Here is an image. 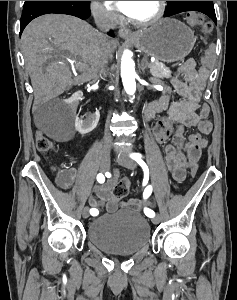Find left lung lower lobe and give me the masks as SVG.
Returning a JSON list of instances; mask_svg holds the SVG:
<instances>
[{
	"instance_id": "1",
	"label": "left lung lower lobe",
	"mask_w": 237,
	"mask_h": 300,
	"mask_svg": "<svg viewBox=\"0 0 237 300\" xmlns=\"http://www.w3.org/2000/svg\"><path fill=\"white\" fill-rule=\"evenodd\" d=\"M186 11L202 12V13L206 14L207 16H209L215 22V24H217L215 10H214L213 5H194V6L182 7V8L176 9L175 14L180 13V12H186ZM165 16H167V15H165Z\"/></svg>"
}]
</instances>
